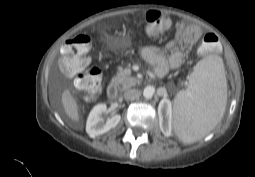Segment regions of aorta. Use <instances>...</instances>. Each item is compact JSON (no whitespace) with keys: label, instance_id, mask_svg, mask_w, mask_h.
Segmentation results:
<instances>
[{"label":"aorta","instance_id":"obj_1","mask_svg":"<svg viewBox=\"0 0 255 177\" xmlns=\"http://www.w3.org/2000/svg\"><path fill=\"white\" fill-rule=\"evenodd\" d=\"M155 94V88L153 86H146L143 90V96L146 99H151Z\"/></svg>","mask_w":255,"mask_h":177}]
</instances>
